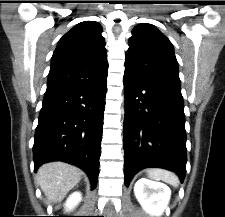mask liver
<instances>
[{"instance_id": "obj_1", "label": "liver", "mask_w": 225, "mask_h": 217, "mask_svg": "<svg viewBox=\"0 0 225 217\" xmlns=\"http://www.w3.org/2000/svg\"><path fill=\"white\" fill-rule=\"evenodd\" d=\"M82 171L64 162L43 164L37 171V183L49 203L61 202L67 193L79 183Z\"/></svg>"}]
</instances>
